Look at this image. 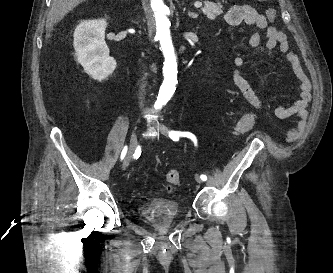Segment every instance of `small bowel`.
<instances>
[{
    "label": "small bowel",
    "instance_id": "obj_1",
    "mask_svg": "<svg viewBox=\"0 0 333 273\" xmlns=\"http://www.w3.org/2000/svg\"><path fill=\"white\" fill-rule=\"evenodd\" d=\"M223 19L225 24L229 27H238L239 25L245 23L258 29L266 30V40L264 42L262 41V37L259 33H254L248 38L247 44L250 47L256 48L260 52L265 53H270L273 49L278 47L280 51L285 54L287 61L298 79L301 93L303 95L296 103L277 108L276 115L280 118H288L293 115L299 117L300 124L298 128L294 129L289 134L290 138L295 137L297 131L301 129V123L305 117L304 109L307 103V98L305 96L307 80L300 67L296 54L290 49L286 35L278 28L269 26L267 17L259 13L250 5L235 4L230 6L224 13ZM245 65L246 62L244 58H233L231 79L246 101L255 109L262 110L264 109L263 101L257 96L254 89L241 74V70L245 67Z\"/></svg>",
    "mask_w": 333,
    "mask_h": 273
}]
</instances>
